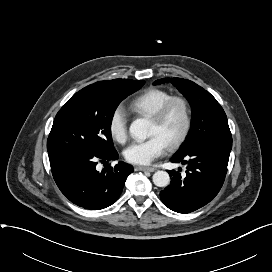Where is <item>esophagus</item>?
Listing matches in <instances>:
<instances>
[{
    "instance_id": "esophagus-1",
    "label": "esophagus",
    "mask_w": 272,
    "mask_h": 272,
    "mask_svg": "<svg viewBox=\"0 0 272 272\" xmlns=\"http://www.w3.org/2000/svg\"><path fill=\"white\" fill-rule=\"evenodd\" d=\"M136 170L138 171H149V172H154L156 169L153 167H144V166H137Z\"/></svg>"
}]
</instances>
